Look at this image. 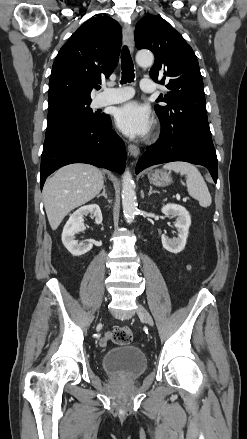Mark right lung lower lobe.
Masks as SVG:
<instances>
[{
  "mask_svg": "<svg viewBox=\"0 0 247 439\" xmlns=\"http://www.w3.org/2000/svg\"><path fill=\"white\" fill-rule=\"evenodd\" d=\"M126 162L123 140L113 131L109 115L96 124L79 125L48 134L41 160V189L46 178L71 163H87L122 173Z\"/></svg>",
  "mask_w": 247,
  "mask_h": 439,
  "instance_id": "right-lung-lower-lobe-1",
  "label": "right lung lower lobe"
}]
</instances>
